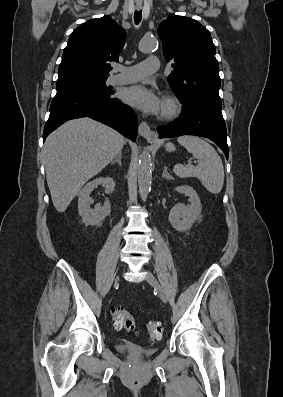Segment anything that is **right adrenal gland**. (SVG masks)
Here are the masks:
<instances>
[{
	"instance_id": "right-adrenal-gland-1",
	"label": "right adrenal gland",
	"mask_w": 283,
	"mask_h": 397,
	"mask_svg": "<svg viewBox=\"0 0 283 397\" xmlns=\"http://www.w3.org/2000/svg\"><path fill=\"white\" fill-rule=\"evenodd\" d=\"M121 158H122V153L120 152L113 161H111V164H115L116 162L122 166V162H121Z\"/></svg>"
}]
</instances>
